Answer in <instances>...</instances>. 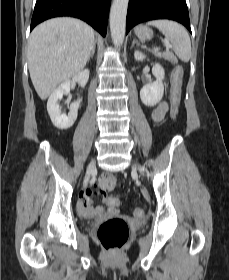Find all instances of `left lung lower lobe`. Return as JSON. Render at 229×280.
<instances>
[{"mask_svg":"<svg viewBox=\"0 0 229 280\" xmlns=\"http://www.w3.org/2000/svg\"><path fill=\"white\" fill-rule=\"evenodd\" d=\"M155 19L175 20L191 32L185 0H129L126 34L135 25Z\"/></svg>","mask_w":229,"mask_h":280,"instance_id":"left-lung-lower-lobe-1","label":"left lung lower lobe"}]
</instances>
